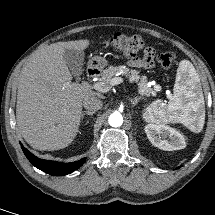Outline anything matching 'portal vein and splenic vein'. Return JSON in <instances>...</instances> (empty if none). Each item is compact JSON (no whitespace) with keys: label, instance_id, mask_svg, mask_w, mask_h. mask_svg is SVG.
Listing matches in <instances>:
<instances>
[{"label":"portal vein and splenic vein","instance_id":"obj_1","mask_svg":"<svg viewBox=\"0 0 215 215\" xmlns=\"http://www.w3.org/2000/svg\"><path fill=\"white\" fill-rule=\"evenodd\" d=\"M124 80L121 77H114L109 84H105L103 82H96L93 85V88L100 92H108L110 90V86L118 85L123 83Z\"/></svg>","mask_w":215,"mask_h":215}]
</instances>
